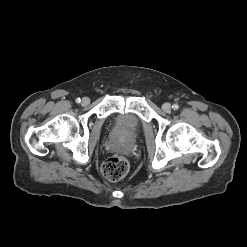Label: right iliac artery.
Wrapping results in <instances>:
<instances>
[{
  "label": "right iliac artery",
  "instance_id": "82829eb1",
  "mask_svg": "<svg viewBox=\"0 0 247 247\" xmlns=\"http://www.w3.org/2000/svg\"><path fill=\"white\" fill-rule=\"evenodd\" d=\"M81 102V99L80 98H77L76 99V103H80Z\"/></svg>",
  "mask_w": 247,
  "mask_h": 247
}]
</instances>
